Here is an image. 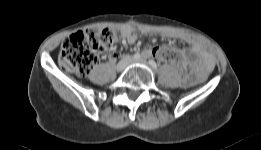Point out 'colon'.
Returning a JSON list of instances; mask_svg holds the SVG:
<instances>
[{
  "label": "colon",
  "instance_id": "obj_1",
  "mask_svg": "<svg viewBox=\"0 0 261 150\" xmlns=\"http://www.w3.org/2000/svg\"><path fill=\"white\" fill-rule=\"evenodd\" d=\"M125 34L116 28H86L78 31L63 42L58 62L66 71L86 76L95 67L100 55L112 49ZM152 54L173 62L183 76H188L190 66L182 51L173 43L157 46Z\"/></svg>",
  "mask_w": 261,
  "mask_h": 150
}]
</instances>
